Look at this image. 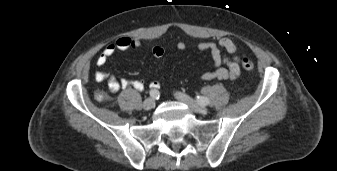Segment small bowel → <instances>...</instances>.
<instances>
[{
	"instance_id": "small-bowel-1",
	"label": "small bowel",
	"mask_w": 337,
	"mask_h": 171,
	"mask_svg": "<svg viewBox=\"0 0 337 171\" xmlns=\"http://www.w3.org/2000/svg\"><path fill=\"white\" fill-rule=\"evenodd\" d=\"M141 46V41L137 38H131L126 36L119 37L115 42L108 44L96 59V64L99 67L104 66L107 61L117 51H130L136 50ZM196 48L200 51H208L211 55L214 69L201 74V79L204 81H210L213 79L226 80L236 79L241 72L240 58L237 55L238 45L230 38H222L218 42H201L197 44ZM178 50H185L186 44L184 42L177 43ZM152 53L155 57H162L164 50L160 46L152 48ZM227 54L232 55L229 57ZM94 78L97 82H107L109 91L112 93L118 92L120 89L133 88L138 91H142L144 85L138 80L128 79H116L108 71H97L94 74ZM152 89H159V81H152L150 84Z\"/></svg>"
}]
</instances>
